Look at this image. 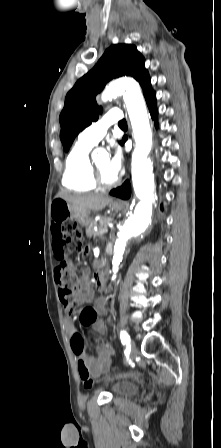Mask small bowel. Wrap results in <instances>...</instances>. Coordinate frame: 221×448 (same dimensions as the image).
Here are the masks:
<instances>
[{
  "label": "small bowel",
  "instance_id": "small-bowel-1",
  "mask_svg": "<svg viewBox=\"0 0 221 448\" xmlns=\"http://www.w3.org/2000/svg\"><path fill=\"white\" fill-rule=\"evenodd\" d=\"M59 224L56 222L52 216V236H53V243H52V249L54 255L57 257V249L56 245L61 242V239L59 235L55 232L56 229H58ZM92 302L93 308L95 309L96 313L101 315L105 313V304L106 300L104 298H99L94 300V293L91 290V288L88 286L86 278L83 277L80 280V292L78 296L75 298L72 305L65 306V309L67 311H70L74 306L82 305L84 303ZM80 320L83 323V316L82 313L80 315ZM66 332L70 338V344L72 351L76 358L78 360H83L88 369L90 370L91 374L94 376H99L101 373H103L111 364L112 357L115 354L114 348L109 345L106 342H100L97 350V355H92L88 353L86 350V347L84 345V342L81 339L82 348L78 351L75 349V347L72 345V337L75 333L74 324L73 321L70 318H67L64 322ZM94 330L98 332L99 334H104L106 331V327L104 322L97 318L96 321L92 324Z\"/></svg>",
  "mask_w": 221,
  "mask_h": 448
}]
</instances>
